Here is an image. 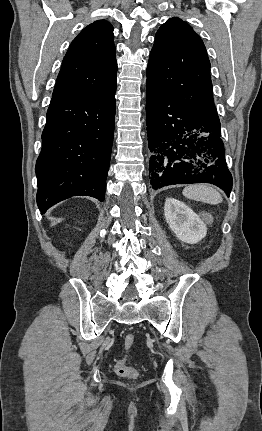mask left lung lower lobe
Masks as SVG:
<instances>
[{"mask_svg": "<svg viewBox=\"0 0 262 431\" xmlns=\"http://www.w3.org/2000/svg\"><path fill=\"white\" fill-rule=\"evenodd\" d=\"M146 125L154 190L210 183L230 194L233 180L225 161L220 124L203 122L189 107L147 83Z\"/></svg>", "mask_w": 262, "mask_h": 431, "instance_id": "1", "label": "left lung lower lobe"}]
</instances>
